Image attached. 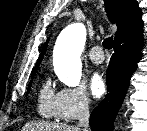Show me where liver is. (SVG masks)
<instances>
[{
  "mask_svg": "<svg viewBox=\"0 0 147 131\" xmlns=\"http://www.w3.org/2000/svg\"><path fill=\"white\" fill-rule=\"evenodd\" d=\"M22 131H80L76 126L49 122H28L22 127Z\"/></svg>",
  "mask_w": 147,
  "mask_h": 131,
  "instance_id": "obj_1",
  "label": "liver"
}]
</instances>
